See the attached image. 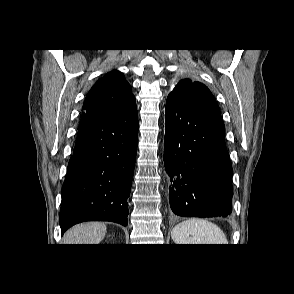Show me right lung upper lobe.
Instances as JSON below:
<instances>
[{
	"label": "right lung upper lobe",
	"mask_w": 294,
	"mask_h": 294,
	"mask_svg": "<svg viewBox=\"0 0 294 294\" xmlns=\"http://www.w3.org/2000/svg\"><path fill=\"white\" fill-rule=\"evenodd\" d=\"M134 99L131 87L123 74L111 71L99 79L89 91L82 117L112 113Z\"/></svg>",
	"instance_id": "cb5924a9"
}]
</instances>
